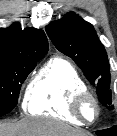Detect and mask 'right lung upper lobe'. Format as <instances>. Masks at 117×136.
I'll return each mask as SVG.
<instances>
[{
  "mask_svg": "<svg viewBox=\"0 0 117 136\" xmlns=\"http://www.w3.org/2000/svg\"><path fill=\"white\" fill-rule=\"evenodd\" d=\"M48 51V40L43 30L26 28L17 23L0 28V59L31 61L41 59Z\"/></svg>",
  "mask_w": 117,
  "mask_h": 136,
  "instance_id": "right-lung-upper-lobe-1",
  "label": "right lung upper lobe"
}]
</instances>
